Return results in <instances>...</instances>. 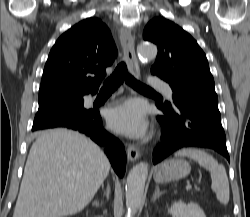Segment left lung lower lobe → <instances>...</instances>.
<instances>
[{
	"mask_svg": "<svg viewBox=\"0 0 250 217\" xmlns=\"http://www.w3.org/2000/svg\"><path fill=\"white\" fill-rule=\"evenodd\" d=\"M176 95L173 107L157 103L164 115L157 116L162 127V143L153 152V163L186 147L210 148L230 161L217 95Z\"/></svg>",
	"mask_w": 250,
	"mask_h": 217,
	"instance_id": "0a47b994",
	"label": "left lung lower lobe"
}]
</instances>
